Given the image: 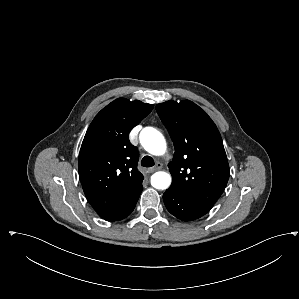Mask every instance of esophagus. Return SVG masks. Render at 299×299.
I'll return each instance as SVG.
<instances>
[{
  "mask_svg": "<svg viewBox=\"0 0 299 299\" xmlns=\"http://www.w3.org/2000/svg\"><path fill=\"white\" fill-rule=\"evenodd\" d=\"M161 169H162V164L158 162V163L155 165V167H152V168H149V169H148V173H153V172L158 171V170H161Z\"/></svg>",
  "mask_w": 299,
  "mask_h": 299,
  "instance_id": "1",
  "label": "esophagus"
}]
</instances>
